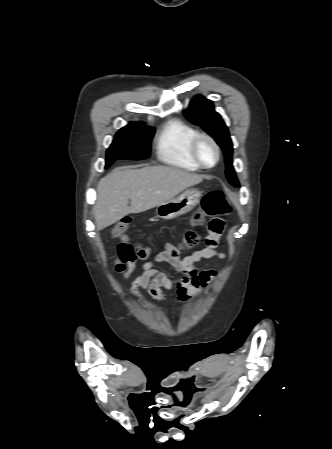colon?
I'll return each instance as SVG.
<instances>
[{
    "label": "colon",
    "mask_w": 332,
    "mask_h": 449,
    "mask_svg": "<svg viewBox=\"0 0 332 449\" xmlns=\"http://www.w3.org/2000/svg\"><path fill=\"white\" fill-rule=\"evenodd\" d=\"M231 210V203L222 191H211L203 197L200 210L192 218V225L199 226L206 219H211V221L221 219V217L230 214ZM130 226V220L121 219L113 227L114 235L121 239L118 245L117 266L132 263L137 258L136 250L124 237ZM198 243L199 237L197 233L193 229H187L183 236V244L188 248H193Z\"/></svg>",
    "instance_id": "obj_1"
}]
</instances>
